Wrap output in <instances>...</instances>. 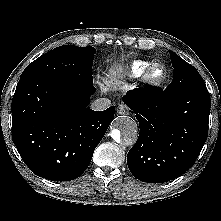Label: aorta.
<instances>
[{"instance_id": "aorta-1", "label": "aorta", "mask_w": 221, "mask_h": 221, "mask_svg": "<svg viewBox=\"0 0 221 221\" xmlns=\"http://www.w3.org/2000/svg\"><path fill=\"white\" fill-rule=\"evenodd\" d=\"M113 140L119 144L130 146L138 137V124L129 116H120L115 121V127L111 132Z\"/></svg>"}]
</instances>
